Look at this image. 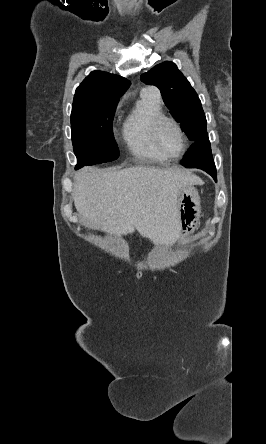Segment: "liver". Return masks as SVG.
Wrapping results in <instances>:
<instances>
[{
	"label": "liver",
	"instance_id": "1",
	"mask_svg": "<svg viewBox=\"0 0 266 444\" xmlns=\"http://www.w3.org/2000/svg\"><path fill=\"white\" fill-rule=\"evenodd\" d=\"M74 181L75 208L90 228L118 236L137 229L154 244L168 246L179 237L178 195L199 178L180 169L84 167Z\"/></svg>",
	"mask_w": 266,
	"mask_h": 444
}]
</instances>
